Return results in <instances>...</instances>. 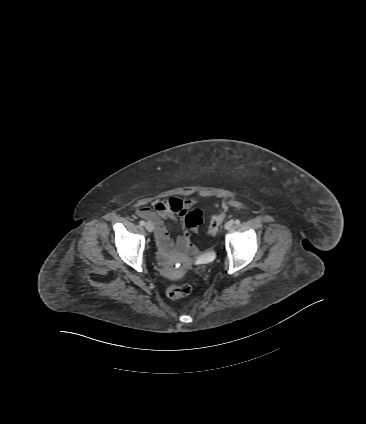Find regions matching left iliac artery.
Returning a JSON list of instances; mask_svg holds the SVG:
<instances>
[{
    "instance_id": "left-iliac-artery-1",
    "label": "left iliac artery",
    "mask_w": 366,
    "mask_h": 424,
    "mask_svg": "<svg viewBox=\"0 0 366 424\" xmlns=\"http://www.w3.org/2000/svg\"><path fill=\"white\" fill-rule=\"evenodd\" d=\"M234 223H235L236 225H239V224H240V220H238V219H237V220H235V221H234Z\"/></svg>"
}]
</instances>
